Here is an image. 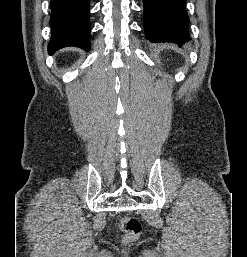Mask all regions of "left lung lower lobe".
Wrapping results in <instances>:
<instances>
[{"mask_svg": "<svg viewBox=\"0 0 247 257\" xmlns=\"http://www.w3.org/2000/svg\"><path fill=\"white\" fill-rule=\"evenodd\" d=\"M143 3L144 31L148 40L178 46L190 40L186 0H143Z\"/></svg>", "mask_w": 247, "mask_h": 257, "instance_id": "0a47b994", "label": "left lung lower lobe"}]
</instances>
